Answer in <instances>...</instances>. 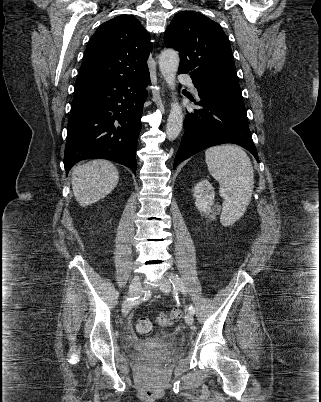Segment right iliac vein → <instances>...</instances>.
Listing matches in <instances>:
<instances>
[{
  "label": "right iliac vein",
  "instance_id": "1",
  "mask_svg": "<svg viewBox=\"0 0 321 402\" xmlns=\"http://www.w3.org/2000/svg\"><path fill=\"white\" fill-rule=\"evenodd\" d=\"M140 284H141V279H140V277H139V276H135V277L132 279V281H131V283H130V286H129L128 296H127L128 298H133V297H135V296L138 294L139 289H140ZM131 306H132V303H131V302L125 301V302L123 303V305H122V314H123L124 316H126V315L129 313V311H130V309H131Z\"/></svg>",
  "mask_w": 321,
  "mask_h": 402
}]
</instances>
